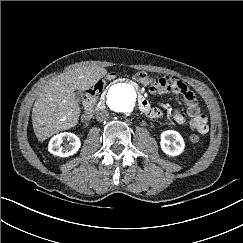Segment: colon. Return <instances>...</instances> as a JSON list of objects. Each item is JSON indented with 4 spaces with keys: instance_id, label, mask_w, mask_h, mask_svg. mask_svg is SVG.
I'll return each instance as SVG.
<instances>
[{
    "instance_id": "obj_1",
    "label": "colon",
    "mask_w": 243,
    "mask_h": 243,
    "mask_svg": "<svg viewBox=\"0 0 243 243\" xmlns=\"http://www.w3.org/2000/svg\"><path fill=\"white\" fill-rule=\"evenodd\" d=\"M110 77H114V74H110ZM133 80L150 87H157L165 84L163 77H149L145 72H137L133 75ZM104 87V81H98L94 86L90 87L84 94L83 103H84V118H88L91 115L92 107L102 92ZM189 140L194 143H200V137L198 135H190Z\"/></svg>"
}]
</instances>
